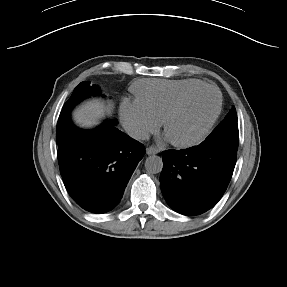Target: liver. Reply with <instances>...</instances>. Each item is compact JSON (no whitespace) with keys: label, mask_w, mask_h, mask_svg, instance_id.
I'll list each match as a JSON object with an SVG mask.
<instances>
[{"label":"liver","mask_w":287,"mask_h":287,"mask_svg":"<svg viewBox=\"0 0 287 287\" xmlns=\"http://www.w3.org/2000/svg\"><path fill=\"white\" fill-rule=\"evenodd\" d=\"M110 108L105 107L103 102L92 100L86 102L73 113L75 123L79 127L89 128L99 123V119L104 116V112H109Z\"/></svg>","instance_id":"6515ba94"}]
</instances>
